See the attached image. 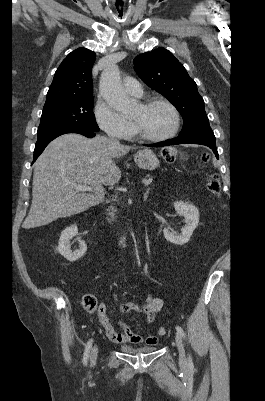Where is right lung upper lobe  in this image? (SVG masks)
<instances>
[{
	"label": "right lung upper lobe",
	"mask_w": 265,
	"mask_h": 401,
	"mask_svg": "<svg viewBox=\"0 0 265 401\" xmlns=\"http://www.w3.org/2000/svg\"><path fill=\"white\" fill-rule=\"evenodd\" d=\"M96 54L86 48L69 53L55 72L45 105L62 100L92 96V66Z\"/></svg>",
	"instance_id": "1"
}]
</instances>
